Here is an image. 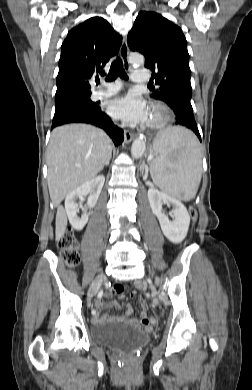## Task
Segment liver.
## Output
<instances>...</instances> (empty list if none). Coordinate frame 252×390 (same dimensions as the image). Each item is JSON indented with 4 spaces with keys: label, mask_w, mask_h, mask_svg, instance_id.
Here are the masks:
<instances>
[{
    "label": "liver",
    "mask_w": 252,
    "mask_h": 390,
    "mask_svg": "<svg viewBox=\"0 0 252 390\" xmlns=\"http://www.w3.org/2000/svg\"><path fill=\"white\" fill-rule=\"evenodd\" d=\"M112 141L101 129L87 124L55 128L47 149L48 188L51 201L58 208L56 240L64 235L67 217L60 204L73 190L92 180L112 153Z\"/></svg>",
    "instance_id": "liver-1"
}]
</instances>
